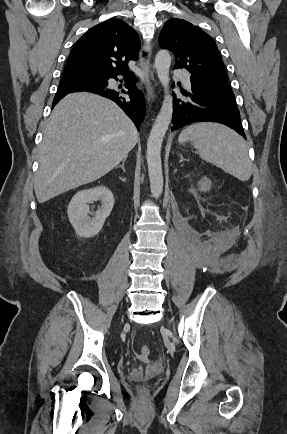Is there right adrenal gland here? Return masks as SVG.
Here are the masks:
<instances>
[{
	"label": "right adrenal gland",
	"instance_id": "1",
	"mask_svg": "<svg viewBox=\"0 0 287 434\" xmlns=\"http://www.w3.org/2000/svg\"><path fill=\"white\" fill-rule=\"evenodd\" d=\"M126 159H127V157H125L122 161V164L118 166V167H121L124 172H125L124 164H125Z\"/></svg>",
	"mask_w": 287,
	"mask_h": 434
}]
</instances>
